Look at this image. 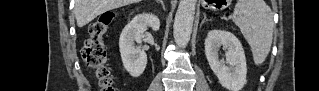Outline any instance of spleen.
Segmentation results:
<instances>
[{
	"label": "spleen",
	"instance_id": "1",
	"mask_svg": "<svg viewBox=\"0 0 319 91\" xmlns=\"http://www.w3.org/2000/svg\"><path fill=\"white\" fill-rule=\"evenodd\" d=\"M233 20L251 47L253 60L261 65L267 58L273 40V14L264 0H239Z\"/></svg>",
	"mask_w": 319,
	"mask_h": 91
}]
</instances>
